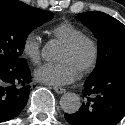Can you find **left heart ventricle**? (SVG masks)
I'll return each mask as SVG.
<instances>
[{"label": "left heart ventricle", "mask_w": 125, "mask_h": 125, "mask_svg": "<svg viewBox=\"0 0 125 125\" xmlns=\"http://www.w3.org/2000/svg\"><path fill=\"white\" fill-rule=\"evenodd\" d=\"M91 56V48L87 43H82L74 50H68L62 46L58 60L69 61L79 72L89 61Z\"/></svg>", "instance_id": "1"}]
</instances>
